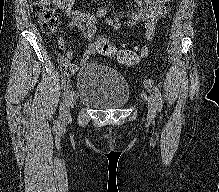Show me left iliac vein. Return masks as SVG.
Wrapping results in <instances>:
<instances>
[{
    "label": "left iliac vein",
    "mask_w": 219,
    "mask_h": 192,
    "mask_svg": "<svg viewBox=\"0 0 219 192\" xmlns=\"http://www.w3.org/2000/svg\"><path fill=\"white\" fill-rule=\"evenodd\" d=\"M148 104V115L154 117L156 113V102L152 96H144Z\"/></svg>",
    "instance_id": "1"
}]
</instances>
